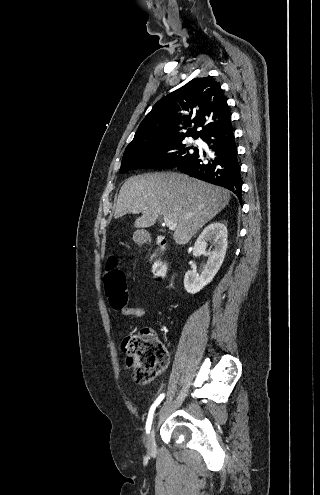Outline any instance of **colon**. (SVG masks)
I'll list each match as a JSON object with an SVG mask.
<instances>
[{
    "mask_svg": "<svg viewBox=\"0 0 320 495\" xmlns=\"http://www.w3.org/2000/svg\"><path fill=\"white\" fill-rule=\"evenodd\" d=\"M165 250L162 242L160 251ZM169 264L156 261L152 266L157 279L166 276ZM103 283L106 297L110 305L118 311H123L128 299V289L125 273L119 260L111 257L106 262ZM121 347L128 356L127 362L134 363L133 379L138 384H147L157 376L168 363V351L164 345L152 340L148 329H142L138 334L128 335L122 339Z\"/></svg>",
    "mask_w": 320,
    "mask_h": 495,
    "instance_id": "5ec220e1",
    "label": "colon"
}]
</instances>
